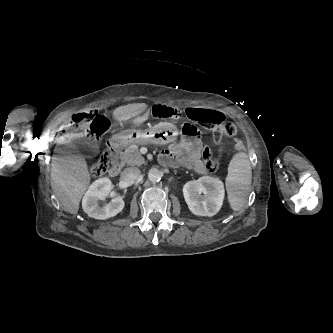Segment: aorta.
Masks as SVG:
<instances>
[{
    "mask_svg": "<svg viewBox=\"0 0 333 333\" xmlns=\"http://www.w3.org/2000/svg\"><path fill=\"white\" fill-rule=\"evenodd\" d=\"M161 177H162L161 172L156 168H152L148 172V178L151 182H158L161 179Z\"/></svg>",
    "mask_w": 333,
    "mask_h": 333,
    "instance_id": "1",
    "label": "aorta"
}]
</instances>
